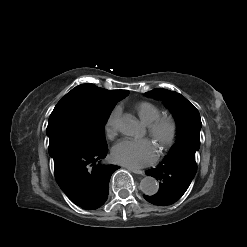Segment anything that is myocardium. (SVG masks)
I'll list each match as a JSON object with an SVG mask.
<instances>
[{"instance_id":"f54148a6","label":"myocardium","mask_w":247,"mask_h":247,"mask_svg":"<svg viewBox=\"0 0 247 247\" xmlns=\"http://www.w3.org/2000/svg\"><path fill=\"white\" fill-rule=\"evenodd\" d=\"M147 130L161 150H167L176 141L178 124L172 116L164 115L147 124Z\"/></svg>"}]
</instances>
